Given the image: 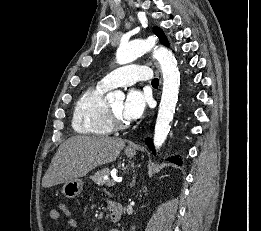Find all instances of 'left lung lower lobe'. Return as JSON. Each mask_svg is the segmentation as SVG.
<instances>
[{
    "instance_id": "obj_1",
    "label": "left lung lower lobe",
    "mask_w": 261,
    "mask_h": 231,
    "mask_svg": "<svg viewBox=\"0 0 261 231\" xmlns=\"http://www.w3.org/2000/svg\"><path fill=\"white\" fill-rule=\"evenodd\" d=\"M146 144L148 145L149 149L153 152V154H155L154 146L150 139H146ZM169 160L178 165H181L180 159H178V157H172Z\"/></svg>"
}]
</instances>
